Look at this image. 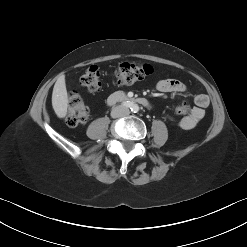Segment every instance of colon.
Here are the masks:
<instances>
[{"label":"colon","mask_w":247,"mask_h":247,"mask_svg":"<svg viewBox=\"0 0 247 247\" xmlns=\"http://www.w3.org/2000/svg\"><path fill=\"white\" fill-rule=\"evenodd\" d=\"M153 68L148 64L124 62L118 65L112 72L117 85H132L152 74ZM80 84L91 92H97L102 88V72L97 66L89 67L80 77ZM190 109L189 104L178 106L175 114L185 115ZM89 111L78 92L69 94V107L65 117L66 124L71 127L78 126L88 119Z\"/></svg>","instance_id":"1"}]
</instances>
